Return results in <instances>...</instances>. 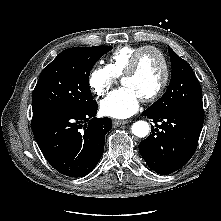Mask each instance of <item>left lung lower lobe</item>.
Instances as JSON below:
<instances>
[{
    "mask_svg": "<svg viewBox=\"0 0 221 221\" xmlns=\"http://www.w3.org/2000/svg\"><path fill=\"white\" fill-rule=\"evenodd\" d=\"M150 135L139 144V151L148 167L158 174L177 171L193 156L204 122V110H177L153 114ZM160 122V124H158Z\"/></svg>",
    "mask_w": 221,
    "mask_h": 221,
    "instance_id": "0a47b994",
    "label": "left lung lower lobe"
}]
</instances>
